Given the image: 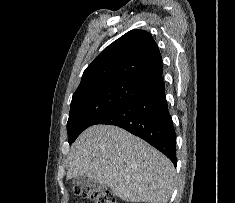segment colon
I'll list each match as a JSON object with an SVG mask.
<instances>
[{"mask_svg":"<svg viewBox=\"0 0 235 203\" xmlns=\"http://www.w3.org/2000/svg\"><path fill=\"white\" fill-rule=\"evenodd\" d=\"M74 191L93 203H118L112 191L104 186H76Z\"/></svg>","mask_w":235,"mask_h":203,"instance_id":"obj_1","label":"colon"}]
</instances>
